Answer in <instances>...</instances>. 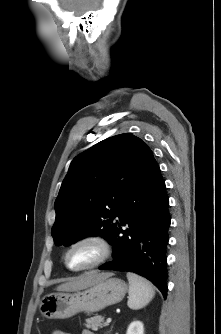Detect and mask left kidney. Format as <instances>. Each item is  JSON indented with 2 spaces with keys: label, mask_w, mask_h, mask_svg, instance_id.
<instances>
[{
  "label": "left kidney",
  "mask_w": 221,
  "mask_h": 334,
  "mask_svg": "<svg viewBox=\"0 0 221 334\" xmlns=\"http://www.w3.org/2000/svg\"><path fill=\"white\" fill-rule=\"evenodd\" d=\"M126 334H144V326L141 321H133L130 323Z\"/></svg>",
  "instance_id": "1"
}]
</instances>
